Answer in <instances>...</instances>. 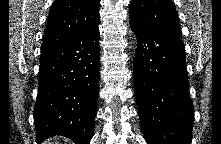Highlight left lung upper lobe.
Returning <instances> with one entry per match:
<instances>
[{"label":"left lung upper lobe","mask_w":221,"mask_h":144,"mask_svg":"<svg viewBox=\"0 0 221 144\" xmlns=\"http://www.w3.org/2000/svg\"><path fill=\"white\" fill-rule=\"evenodd\" d=\"M129 17L143 30L180 38L177 11L171 0H131Z\"/></svg>","instance_id":"obj_1"}]
</instances>
